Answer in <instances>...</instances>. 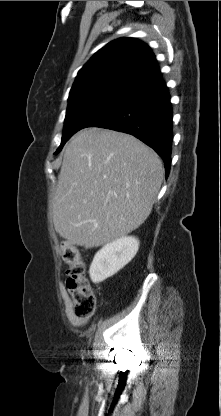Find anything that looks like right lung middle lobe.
I'll list each match as a JSON object with an SVG mask.
<instances>
[{
  "mask_svg": "<svg viewBox=\"0 0 221 416\" xmlns=\"http://www.w3.org/2000/svg\"><path fill=\"white\" fill-rule=\"evenodd\" d=\"M127 95L125 91H99L69 100L61 145L55 154L74 133L98 124Z\"/></svg>",
  "mask_w": 221,
  "mask_h": 416,
  "instance_id": "right-lung-middle-lobe-1",
  "label": "right lung middle lobe"
}]
</instances>
